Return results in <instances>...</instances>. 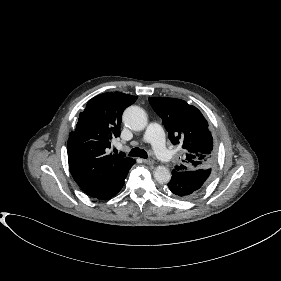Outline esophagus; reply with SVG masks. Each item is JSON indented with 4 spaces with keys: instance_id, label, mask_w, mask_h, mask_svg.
<instances>
[{
    "instance_id": "1",
    "label": "esophagus",
    "mask_w": 281,
    "mask_h": 281,
    "mask_svg": "<svg viewBox=\"0 0 281 281\" xmlns=\"http://www.w3.org/2000/svg\"><path fill=\"white\" fill-rule=\"evenodd\" d=\"M143 162L148 165L154 164V161L152 159H143Z\"/></svg>"
}]
</instances>
